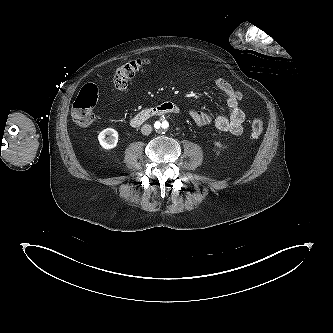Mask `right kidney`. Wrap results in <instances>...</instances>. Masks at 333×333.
Returning a JSON list of instances; mask_svg holds the SVG:
<instances>
[{
    "label": "right kidney",
    "instance_id": "1",
    "mask_svg": "<svg viewBox=\"0 0 333 333\" xmlns=\"http://www.w3.org/2000/svg\"><path fill=\"white\" fill-rule=\"evenodd\" d=\"M98 141L104 149H113L118 143V132L112 128L104 129L99 133Z\"/></svg>",
    "mask_w": 333,
    "mask_h": 333
}]
</instances>
